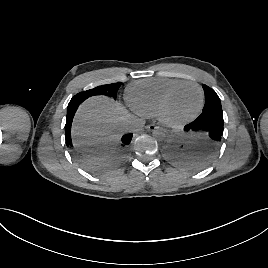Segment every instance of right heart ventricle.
<instances>
[{"label": "right heart ventricle", "instance_id": "obj_1", "mask_svg": "<svg viewBox=\"0 0 268 268\" xmlns=\"http://www.w3.org/2000/svg\"><path fill=\"white\" fill-rule=\"evenodd\" d=\"M185 82L176 78H149L130 84L126 97L133 110L144 116H157L159 105L166 93Z\"/></svg>", "mask_w": 268, "mask_h": 268}]
</instances>
